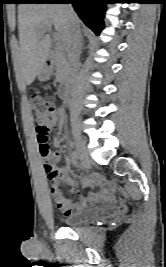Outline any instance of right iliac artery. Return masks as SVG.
Returning a JSON list of instances; mask_svg holds the SVG:
<instances>
[{"instance_id": "right-iliac-artery-1", "label": "right iliac artery", "mask_w": 166, "mask_h": 267, "mask_svg": "<svg viewBox=\"0 0 166 267\" xmlns=\"http://www.w3.org/2000/svg\"><path fill=\"white\" fill-rule=\"evenodd\" d=\"M70 159H71V162L73 163V165L78 166V164H79V156H78L77 151L74 150V151L71 152Z\"/></svg>"}]
</instances>
